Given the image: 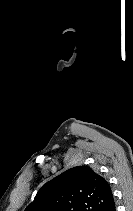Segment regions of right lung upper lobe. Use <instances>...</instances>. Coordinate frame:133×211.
Returning <instances> with one entry per match:
<instances>
[{"label": "right lung upper lobe", "instance_id": "right-lung-upper-lobe-1", "mask_svg": "<svg viewBox=\"0 0 133 211\" xmlns=\"http://www.w3.org/2000/svg\"><path fill=\"white\" fill-rule=\"evenodd\" d=\"M108 182L87 166L73 167L41 187L25 211H112Z\"/></svg>", "mask_w": 133, "mask_h": 211}]
</instances>
